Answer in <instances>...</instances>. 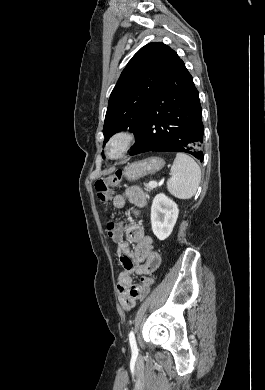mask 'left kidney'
Segmentation results:
<instances>
[{
	"label": "left kidney",
	"mask_w": 265,
	"mask_h": 390,
	"mask_svg": "<svg viewBox=\"0 0 265 390\" xmlns=\"http://www.w3.org/2000/svg\"><path fill=\"white\" fill-rule=\"evenodd\" d=\"M177 204L160 193L155 196L151 206V225L154 235L159 240H165L170 236L178 218Z\"/></svg>",
	"instance_id": "obj_1"
}]
</instances>
